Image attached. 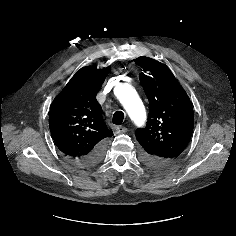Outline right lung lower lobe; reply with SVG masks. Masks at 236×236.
I'll list each match as a JSON object with an SVG mask.
<instances>
[{
  "label": "right lung lower lobe",
  "instance_id": "1",
  "mask_svg": "<svg viewBox=\"0 0 236 236\" xmlns=\"http://www.w3.org/2000/svg\"><path fill=\"white\" fill-rule=\"evenodd\" d=\"M105 149H106V143L105 141H102L98 145H96L90 153L82 157L78 158L67 157V158L73 165L87 168L96 165L102 160L105 154Z\"/></svg>",
  "mask_w": 236,
  "mask_h": 236
}]
</instances>
